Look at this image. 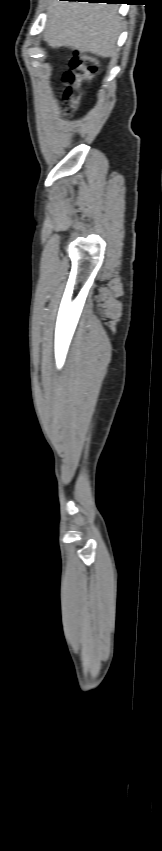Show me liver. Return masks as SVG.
Returning a JSON list of instances; mask_svg holds the SVG:
<instances>
[{
    "label": "liver",
    "mask_w": 162,
    "mask_h": 851,
    "mask_svg": "<svg viewBox=\"0 0 162 851\" xmlns=\"http://www.w3.org/2000/svg\"><path fill=\"white\" fill-rule=\"evenodd\" d=\"M120 31L116 5L48 0L44 39L52 47L112 57Z\"/></svg>",
    "instance_id": "obj_1"
}]
</instances>
